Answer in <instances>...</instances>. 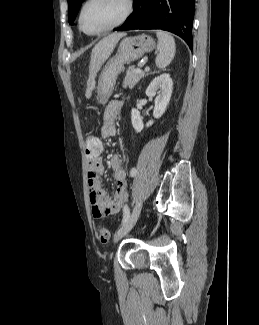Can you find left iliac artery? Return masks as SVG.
<instances>
[{
  "instance_id": "left-iliac-artery-1",
  "label": "left iliac artery",
  "mask_w": 259,
  "mask_h": 325,
  "mask_svg": "<svg viewBox=\"0 0 259 325\" xmlns=\"http://www.w3.org/2000/svg\"><path fill=\"white\" fill-rule=\"evenodd\" d=\"M137 173V169L135 167H133L131 170H130V176L133 177L135 176ZM130 216V210H129V207L127 205L124 206L123 208V220H122V223L126 222L127 219L129 218Z\"/></svg>"
}]
</instances>
